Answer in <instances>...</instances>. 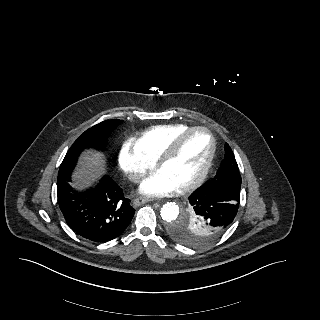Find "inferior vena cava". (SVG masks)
Masks as SVG:
<instances>
[{
	"label": "inferior vena cava",
	"instance_id": "1",
	"mask_svg": "<svg viewBox=\"0 0 320 320\" xmlns=\"http://www.w3.org/2000/svg\"><path fill=\"white\" fill-rule=\"evenodd\" d=\"M141 178V175L139 174H134L131 179L135 180V181H138L139 179Z\"/></svg>",
	"mask_w": 320,
	"mask_h": 320
}]
</instances>
